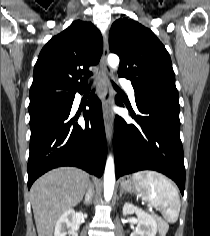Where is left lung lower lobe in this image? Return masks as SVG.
<instances>
[{
  "label": "left lung lower lobe",
  "mask_w": 210,
  "mask_h": 236,
  "mask_svg": "<svg viewBox=\"0 0 210 236\" xmlns=\"http://www.w3.org/2000/svg\"><path fill=\"white\" fill-rule=\"evenodd\" d=\"M135 101L140 115L131 116L137 125L115 117L116 179L140 170H155L174 180L183 195L185 167L179 101L162 96L135 97ZM116 103L123 107L119 96Z\"/></svg>",
  "instance_id": "obj_1"
}]
</instances>
